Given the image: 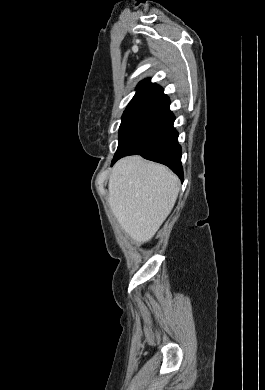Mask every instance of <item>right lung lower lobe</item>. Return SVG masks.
Instances as JSON below:
<instances>
[{
	"instance_id": "98d812e1",
	"label": "right lung lower lobe",
	"mask_w": 265,
	"mask_h": 390,
	"mask_svg": "<svg viewBox=\"0 0 265 390\" xmlns=\"http://www.w3.org/2000/svg\"><path fill=\"white\" fill-rule=\"evenodd\" d=\"M169 105L165 95L135 118L119 140L113 163L124 156L139 154L168 166L183 181L181 146Z\"/></svg>"
}]
</instances>
